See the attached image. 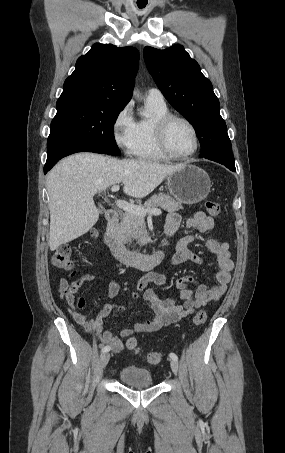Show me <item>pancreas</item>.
I'll return each mask as SVG.
<instances>
[{"instance_id":"pancreas-1","label":"pancreas","mask_w":285,"mask_h":453,"mask_svg":"<svg viewBox=\"0 0 285 453\" xmlns=\"http://www.w3.org/2000/svg\"><path fill=\"white\" fill-rule=\"evenodd\" d=\"M141 207L153 209L161 207L168 212H175L183 209L181 203L176 202L169 195L159 193L153 195ZM114 232L117 240L121 244L131 242L132 239L141 241L146 235V226L144 217L126 212L121 218V222L114 226Z\"/></svg>"}]
</instances>
